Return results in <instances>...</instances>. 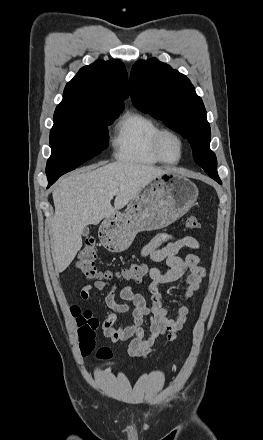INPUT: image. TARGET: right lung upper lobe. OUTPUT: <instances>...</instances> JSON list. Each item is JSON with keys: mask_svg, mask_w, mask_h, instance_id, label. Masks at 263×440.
I'll list each match as a JSON object with an SVG mask.
<instances>
[{"mask_svg": "<svg viewBox=\"0 0 263 440\" xmlns=\"http://www.w3.org/2000/svg\"><path fill=\"white\" fill-rule=\"evenodd\" d=\"M129 94L127 71L119 60H97L83 67L66 85L54 120L95 113H121Z\"/></svg>", "mask_w": 263, "mask_h": 440, "instance_id": "right-lung-upper-lobe-1", "label": "right lung upper lobe"}]
</instances>
